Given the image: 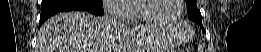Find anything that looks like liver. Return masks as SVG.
Returning <instances> with one entry per match:
<instances>
[{
    "instance_id": "liver-1",
    "label": "liver",
    "mask_w": 261,
    "mask_h": 52,
    "mask_svg": "<svg viewBox=\"0 0 261 52\" xmlns=\"http://www.w3.org/2000/svg\"><path fill=\"white\" fill-rule=\"evenodd\" d=\"M153 36L161 38L162 33L143 26L126 29L120 23L113 24L110 17L88 12L59 13L41 26L37 52H121L117 51V39L145 47Z\"/></svg>"
}]
</instances>
